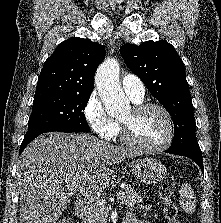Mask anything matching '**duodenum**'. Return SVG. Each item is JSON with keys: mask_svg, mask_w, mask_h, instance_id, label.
Returning a JSON list of instances; mask_svg holds the SVG:
<instances>
[{"mask_svg": "<svg viewBox=\"0 0 221 223\" xmlns=\"http://www.w3.org/2000/svg\"><path fill=\"white\" fill-rule=\"evenodd\" d=\"M89 210V205L87 202L83 200H79L76 203V216L80 219L83 220L88 213Z\"/></svg>", "mask_w": 221, "mask_h": 223, "instance_id": "obj_1", "label": "duodenum"}]
</instances>
